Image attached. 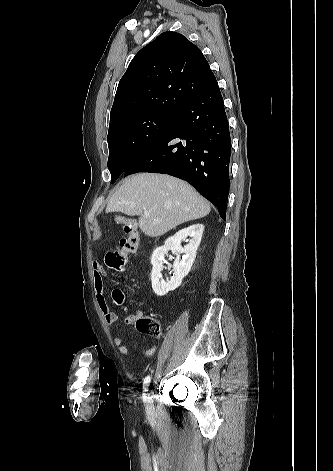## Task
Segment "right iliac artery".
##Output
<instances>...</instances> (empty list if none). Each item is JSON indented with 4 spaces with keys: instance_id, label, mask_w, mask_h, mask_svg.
Wrapping results in <instances>:
<instances>
[{
    "instance_id": "1",
    "label": "right iliac artery",
    "mask_w": 333,
    "mask_h": 471,
    "mask_svg": "<svg viewBox=\"0 0 333 471\" xmlns=\"http://www.w3.org/2000/svg\"><path fill=\"white\" fill-rule=\"evenodd\" d=\"M150 380H151V377H150V376H147V377H145V379H144V381H143V391H144L143 398H144L145 400H146V398H147L145 392L148 390V386H149Z\"/></svg>"
}]
</instances>
